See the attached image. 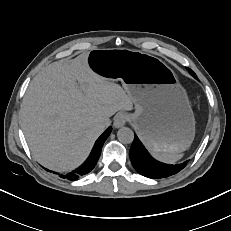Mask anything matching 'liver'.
<instances>
[{
  "mask_svg": "<svg viewBox=\"0 0 231 231\" xmlns=\"http://www.w3.org/2000/svg\"><path fill=\"white\" fill-rule=\"evenodd\" d=\"M87 57L47 66L31 81L21 105V128L33 156L57 172L80 166L104 131L102 123L133 109L125 89L94 73Z\"/></svg>",
  "mask_w": 231,
  "mask_h": 231,
  "instance_id": "6515ba94",
  "label": "liver"
}]
</instances>
